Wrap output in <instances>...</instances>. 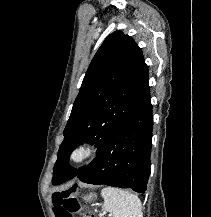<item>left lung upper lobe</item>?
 Instances as JSON below:
<instances>
[{
    "mask_svg": "<svg viewBox=\"0 0 211 217\" xmlns=\"http://www.w3.org/2000/svg\"><path fill=\"white\" fill-rule=\"evenodd\" d=\"M150 97L148 66L134 40L115 31L93 57L64 130L53 185L76 177L84 167L69 168L71 152L82 143L95 144L97 153L112 131Z\"/></svg>",
    "mask_w": 211,
    "mask_h": 217,
    "instance_id": "5c2ea615",
    "label": "left lung upper lobe"
}]
</instances>
